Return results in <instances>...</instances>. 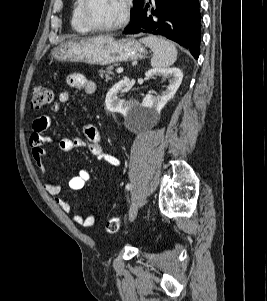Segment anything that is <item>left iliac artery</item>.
<instances>
[{
  "mask_svg": "<svg viewBox=\"0 0 267 301\" xmlns=\"http://www.w3.org/2000/svg\"><path fill=\"white\" fill-rule=\"evenodd\" d=\"M130 189H131V184L128 183V184L126 185V190H130Z\"/></svg>",
  "mask_w": 267,
  "mask_h": 301,
  "instance_id": "1",
  "label": "left iliac artery"
}]
</instances>
